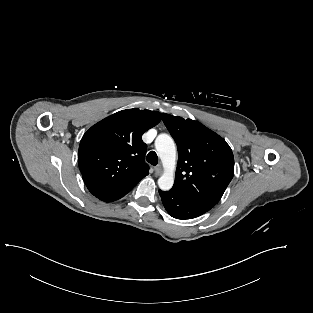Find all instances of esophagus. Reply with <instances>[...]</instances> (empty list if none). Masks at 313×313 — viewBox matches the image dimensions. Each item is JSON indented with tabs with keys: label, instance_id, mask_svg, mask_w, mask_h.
<instances>
[{
	"label": "esophagus",
	"instance_id": "esophagus-1",
	"mask_svg": "<svg viewBox=\"0 0 313 313\" xmlns=\"http://www.w3.org/2000/svg\"><path fill=\"white\" fill-rule=\"evenodd\" d=\"M162 173V166L161 165H157L155 167V174L156 175H160Z\"/></svg>",
	"mask_w": 313,
	"mask_h": 313
}]
</instances>
